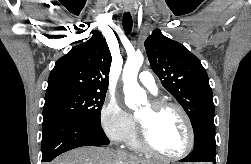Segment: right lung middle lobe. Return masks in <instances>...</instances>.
<instances>
[{"instance_id":"obj_1","label":"right lung middle lobe","mask_w":251,"mask_h":164,"mask_svg":"<svg viewBox=\"0 0 251 164\" xmlns=\"http://www.w3.org/2000/svg\"><path fill=\"white\" fill-rule=\"evenodd\" d=\"M105 92L57 89L46 92L43 121L67 118L100 124Z\"/></svg>"}]
</instances>
